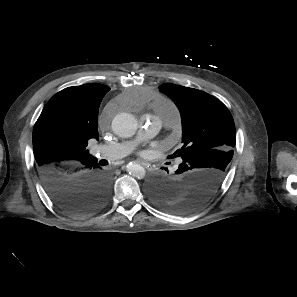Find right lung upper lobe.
<instances>
[{
    "instance_id": "obj_1",
    "label": "right lung upper lobe",
    "mask_w": 297,
    "mask_h": 297,
    "mask_svg": "<svg viewBox=\"0 0 297 297\" xmlns=\"http://www.w3.org/2000/svg\"><path fill=\"white\" fill-rule=\"evenodd\" d=\"M109 90L94 83L68 87L47 102L33 129L38 169L94 158L86 146L89 139H99L98 110Z\"/></svg>"
}]
</instances>
